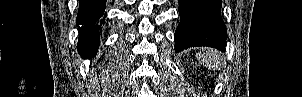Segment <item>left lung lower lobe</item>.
<instances>
[{
  "mask_svg": "<svg viewBox=\"0 0 302 97\" xmlns=\"http://www.w3.org/2000/svg\"><path fill=\"white\" fill-rule=\"evenodd\" d=\"M180 24L175 32V51L194 46L224 50L227 31L221 0H178Z\"/></svg>",
  "mask_w": 302,
  "mask_h": 97,
  "instance_id": "0a47b994",
  "label": "left lung lower lobe"
}]
</instances>
